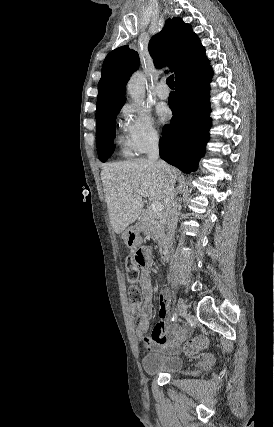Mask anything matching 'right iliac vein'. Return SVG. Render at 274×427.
Segmentation results:
<instances>
[{
  "label": "right iliac vein",
  "mask_w": 274,
  "mask_h": 427,
  "mask_svg": "<svg viewBox=\"0 0 274 427\" xmlns=\"http://www.w3.org/2000/svg\"><path fill=\"white\" fill-rule=\"evenodd\" d=\"M186 311H187V309H186L184 302L181 299H179L178 300V312L182 318H185L187 316Z\"/></svg>",
  "instance_id": "1"
}]
</instances>
